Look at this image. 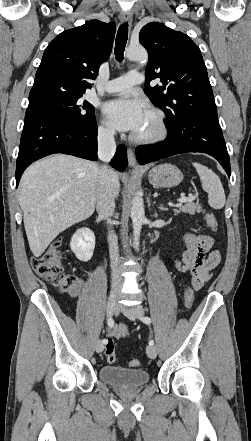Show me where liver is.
Returning <instances> with one entry per match:
<instances>
[{
    "label": "liver",
    "instance_id": "obj_1",
    "mask_svg": "<svg viewBox=\"0 0 251 441\" xmlns=\"http://www.w3.org/2000/svg\"><path fill=\"white\" fill-rule=\"evenodd\" d=\"M98 172L95 162L56 154L35 162L23 173L19 204L35 257L41 256L62 231L93 214ZM114 174L117 195L120 183Z\"/></svg>",
    "mask_w": 251,
    "mask_h": 441
}]
</instances>
